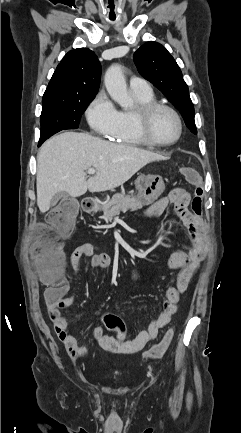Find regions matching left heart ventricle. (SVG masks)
<instances>
[{"mask_svg": "<svg viewBox=\"0 0 241 433\" xmlns=\"http://www.w3.org/2000/svg\"><path fill=\"white\" fill-rule=\"evenodd\" d=\"M151 133L161 142L174 140L178 133V125L173 115L166 110L158 111L151 123Z\"/></svg>", "mask_w": 241, "mask_h": 433, "instance_id": "b2bd125f", "label": "left heart ventricle"}]
</instances>
